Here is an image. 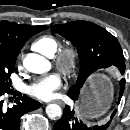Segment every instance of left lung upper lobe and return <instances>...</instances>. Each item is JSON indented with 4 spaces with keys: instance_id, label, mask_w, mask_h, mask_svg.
Here are the masks:
<instances>
[{
    "instance_id": "5c2ea615",
    "label": "left lung upper lobe",
    "mask_w": 130,
    "mask_h": 130,
    "mask_svg": "<svg viewBox=\"0 0 130 130\" xmlns=\"http://www.w3.org/2000/svg\"><path fill=\"white\" fill-rule=\"evenodd\" d=\"M51 28L71 41L78 49L79 76L77 83L69 89L68 95L79 97L80 91L89 77L101 69L112 65L125 69L121 46L118 40L106 29L88 21L58 24ZM124 86L120 83L119 100L122 97Z\"/></svg>"
}]
</instances>
